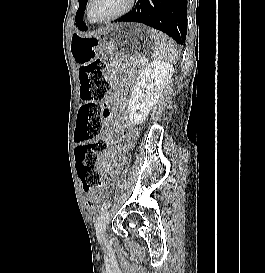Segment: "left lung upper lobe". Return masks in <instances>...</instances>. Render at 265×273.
<instances>
[{
  "label": "left lung upper lobe",
  "instance_id": "5c2ea615",
  "mask_svg": "<svg viewBox=\"0 0 265 273\" xmlns=\"http://www.w3.org/2000/svg\"><path fill=\"white\" fill-rule=\"evenodd\" d=\"M79 1V9L75 16L76 26L80 29L85 23L82 20L84 15V10L88 0H78Z\"/></svg>",
  "mask_w": 265,
  "mask_h": 273
}]
</instances>
